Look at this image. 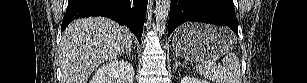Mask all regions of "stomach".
I'll use <instances>...</instances> for the list:
<instances>
[{
	"instance_id": "0dacf381",
	"label": "stomach",
	"mask_w": 307,
	"mask_h": 83,
	"mask_svg": "<svg viewBox=\"0 0 307 83\" xmlns=\"http://www.w3.org/2000/svg\"><path fill=\"white\" fill-rule=\"evenodd\" d=\"M172 43L179 56L201 62L216 60L234 48L236 36L224 27L189 23L175 31Z\"/></svg>"
}]
</instances>
